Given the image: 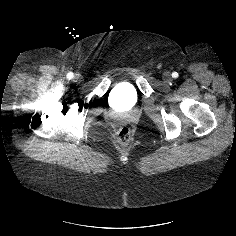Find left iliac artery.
<instances>
[{"label":"left iliac artery","mask_w":236,"mask_h":236,"mask_svg":"<svg viewBox=\"0 0 236 236\" xmlns=\"http://www.w3.org/2000/svg\"><path fill=\"white\" fill-rule=\"evenodd\" d=\"M172 77H173V78H177V77H178V73H177V72H173V73H172Z\"/></svg>","instance_id":"1"}]
</instances>
